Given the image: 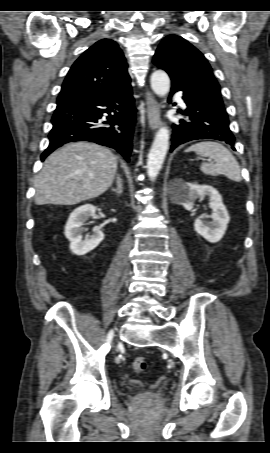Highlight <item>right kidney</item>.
<instances>
[{"label":"right kidney","mask_w":270,"mask_h":453,"mask_svg":"<svg viewBox=\"0 0 270 453\" xmlns=\"http://www.w3.org/2000/svg\"><path fill=\"white\" fill-rule=\"evenodd\" d=\"M95 211V206L86 204L76 208L68 218L64 234L70 241V250L75 255H85L96 248L104 239V234L99 229H95L89 238L82 239V233L86 231L83 225L90 217L95 215Z\"/></svg>","instance_id":"1"}]
</instances>
